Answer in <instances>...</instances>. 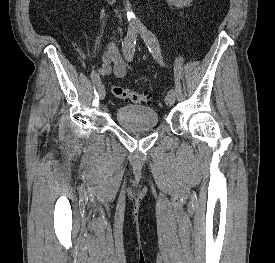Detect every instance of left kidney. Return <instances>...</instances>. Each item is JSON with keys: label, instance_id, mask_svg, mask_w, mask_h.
Returning a JSON list of instances; mask_svg holds the SVG:
<instances>
[{"label": "left kidney", "instance_id": "5707ae66", "mask_svg": "<svg viewBox=\"0 0 275 263\" xmlns=\"http://www.w3.org/2000/svg\"><path fill=\"white\" fill-rule=\"evenodd\" d=\"M191 1L192 0H167L169 4H172L179 8L189 5Z\"/></svg>", "mask_w": 275, "mask_h": 263}]
</instances>
